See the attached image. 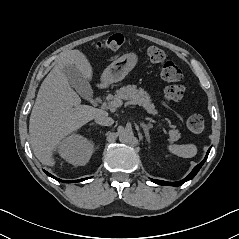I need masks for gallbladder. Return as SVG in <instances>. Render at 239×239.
Returning a JSON list of instances; mask_svg holds the SVG:
<instances>
[{"label":"gallbladder","mask_w":239,"mask_h":239,"mask_svg":"<svg viewBox=\"0 0 239 239\" xmlns=\"http://www.w3.org/2000/svg\"><path fill=\"white\" fill-rule=\"evenodd\" d=\"M63 71L72 87H74L79 94L84 97L91 94L92 89L89 82L74 65L66 66Z\"/></svg>","instance_id":"gallbladder-1"}]
</instances>
